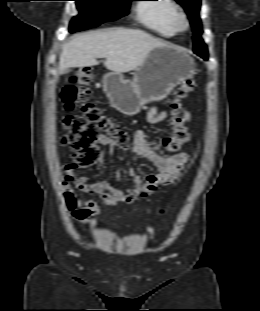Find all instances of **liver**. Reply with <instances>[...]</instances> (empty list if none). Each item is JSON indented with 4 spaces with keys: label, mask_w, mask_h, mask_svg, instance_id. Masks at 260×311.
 <instances>
[{
    "label": "liver",
    "mask_w": 260,
    "mask_h": 311,
    "mask_svg": "<svg viewBox=\"0 0 260 311\" xmlns=\"http://www.w3.org/2000/svg\"><path fill=\"white\" fill-rule=\"evenodd\" d=\"M168 43L138 29L116 28L80 34L64 44L59 60V73L71 67L98 64V58L108 70L125 73L142 65L151 50Z\"/></svg>",
    "instance_id": "liver-1"
}]
</instances>
